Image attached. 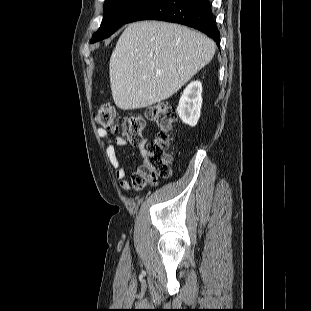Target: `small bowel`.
<instances>
[{
    "instance_id": "c3829d8e",
    "label": "small bowel",
    "mask_w": 311,
    "mask_h": 311,
    "mask_svg": "<svg viewBox=\"0 0 311 311\" xmlns=\"http://www.w3.org/2000/svg\"><path fill=\"white\" fill-rule=\"evenodd\" d=\"M96 133L101 140L110 165L115 170V177L119 181L120 188L123 191H128L131 188V180L127 178L125 169L120 165L116 151V146H125L127 141L120 136L116 137L115 140H111L108 136V133L103 128H98ZM137 146L141 156L143 157L147 147V140L143 139L140 143L137 144Z\"/></svg>"
}]
</instances>
